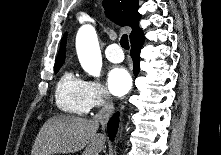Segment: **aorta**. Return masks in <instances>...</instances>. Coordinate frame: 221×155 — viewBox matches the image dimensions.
Instances as JSON below:
<instances>
[{
	"instance_id": "762f6f07",
	"label": "aorta",
	"mask_w": 221,
	"mask_h": 155,
	"mask_svg": "<svg viewBox=\"0 0 221 155\" xmlns=\"http://www.w3.org/2000/svg\"><path fill=\"white\" fill-rule=\"evenodd\" d=\"M76 50L82 68L89 75L100 77L102 56L93 26L84 25L79 29L76 37Z\"/></svg>"
}]
</instances>
